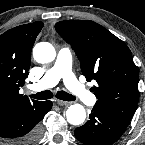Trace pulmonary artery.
<instances>
[{
  "mask_svg": "<svg viewBox=\"0 0 145 145\" xmlns=\"http://www.w3.org/2000/svg\"><path fill=\"white\" fill-rule=\"evenodd\" d=\"M72 55L69 48H62L57 56L56 62L43 78L32 85V90H44L55 86L63 80L69 92L84 104H94L95 96L82 84H80L71 70Z\"/></svg>",
  "mask_w": 145,
  "mask_h": 145,
  "instance_id": "pulmonary-artery-1",
  "label": "pulmonary artery"
}]
</instances>
